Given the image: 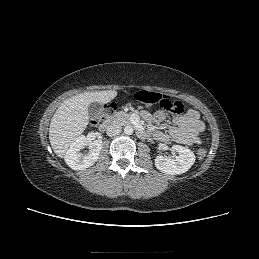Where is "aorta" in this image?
Instances as JSON below:
<instances>
[{"mask_svg": "<svg viewBox=\"0 0 259 259\" xmlns=\"http://www.w3.org/2000/svg\"><path fill=\"white\" fill-rule=\"evenodd\" d=\"M124 134L126 135H132L133 134V128L131 126H125L124 128Z\"/></svg>", "mask_w": 259, "mask_h": 259, "instance_id": "1", "label": "aorta"}]
</instances>
